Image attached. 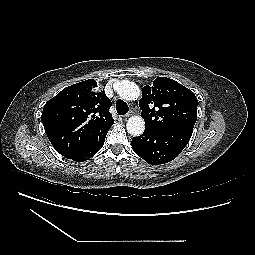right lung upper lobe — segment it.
<instances>
[{"mask_svg": "<svg viewBox=\"0 0 255 255\" xmlns=\"http://www.w3.org/2000/svg\"><path fill=\"white\" fill-rule=\"evenodd\" d=\"M93 79L64 88L43 108L41 121L53 147L68 155L95 132L114 123L109 109L111 100L104 91L96 92Z\"/></svg>", "mask_w": 255, "mask_h": 255, "instance_id": "obj_1", "label": "right lung upper lobe"}]
</instances>
